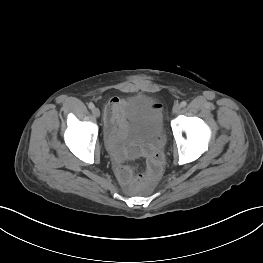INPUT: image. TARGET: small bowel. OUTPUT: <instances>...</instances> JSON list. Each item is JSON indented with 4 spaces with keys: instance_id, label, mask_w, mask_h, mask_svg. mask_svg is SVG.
<instances>
[{
    "instance_id": "obj_1",
    "label": "small bowel",
    "mask_w": 263,
    "mask_h": 263,
    "mask_svg": "<svg viewBox=\"0 0 263 263\" xmlns=\"http://www.w3.org/2000/svg\"><path fill=\"white\" fill-rule=\"evenodd\" d=\"M126 101L119 97L109 100L105 109V133L108 149L111 153L115 172L123 185H129L133 178V169L125 164L127 160L145 156L148 158V165L155 160L162 161V154L155 148L146 149L124 148L120 143L121 133L124 128V107ZM161 110V106L156 104Z\"/></svg>"
}]
</instances>
